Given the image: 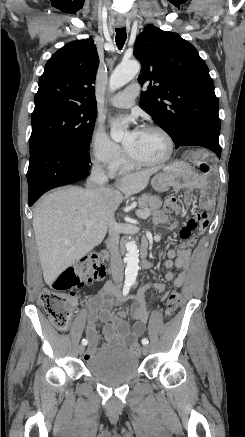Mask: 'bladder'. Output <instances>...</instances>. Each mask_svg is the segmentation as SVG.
<instances>
[{
	"instance_id": "1",
	"label": "bladder",
	"mask_w": 245,
	"mask_h": 437,
	"mask_svg": "<svg viewBox=\"0 0 245 437\" xmlns=\"http://www.w3.org/2000/svg\"><path fill=\"white\" fill-rule=\"evenodd\" d=\"M85 368L104 383L119 384L137 373L139 359L127 348L100 349L85 362Z\"/></svg>"
}]
</instances>
